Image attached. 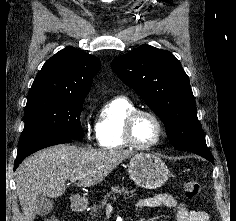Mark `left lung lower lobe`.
I'll return each mask as SVG.
<instances>
[{
	"label": "left lung lower lobe",
	"instance_id": "0a47b994",
	"mask_svg": "<svg viewBox=\"0 0 236 221\" xmlns=\"http://www.w3.org/2000/svg\"><path fill=\"white\" fill-rule=\"evenodd\" d=\"M193 153L198 154V155L204 157L205 159L209 160L212 163L214 162L213 161V156H212V154H211L209 149H205V150H201V151H197V152H193Z\"/></svg>",
	"mask_w": 236,
	"mask_h": 221
}]
</instances>
